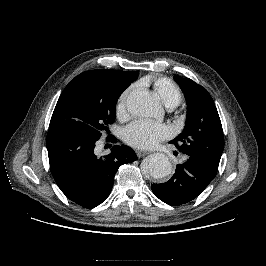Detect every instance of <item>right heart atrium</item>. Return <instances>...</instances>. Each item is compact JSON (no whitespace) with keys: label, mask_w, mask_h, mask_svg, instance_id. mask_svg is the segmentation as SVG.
Returning a JSON list of instances; mask_svg holds the SVG:
<instances>
[{"label":"right heart atrium","mask_w":266,"mask_h":266,"mask_svg":"<svg viewBox=\"0 0 266 266\" xmlns=\"http://www.w3.org/2000/svg\"><path fill=\"white\" fill-rule=\"evenodd\" d=\"M130 89L125 90L119 96L117 103H116V115L118 118L123 119L126 117L127 114V102L130 95Z\"/></svg>","instance_id":"d8ad5b80"}]
</instances>
